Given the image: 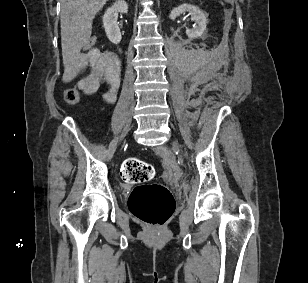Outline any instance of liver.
I'll list each match as a JSON object with an SVG mask.
<instances>
[{
    "instance_id": "1",
    "label": "liver",
    "mask_w": 308,
    "mask_h": 283,
    "mask_svg": "<svg viewBox=\"0 0 308 283\" xmlns=\"http://www.w3.org/2000/svg\"><path fill=\"white\" fill-rule=\"evenodd\" d=\"M108 0H61V45L64 64L76 57L92 33V21Z\"/></svg>"
}]
</instances>
